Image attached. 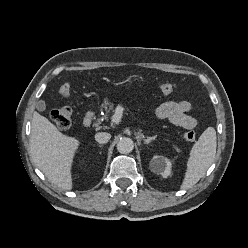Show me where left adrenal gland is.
I'll list each match as a JSON object with an SVG mask.
<instances>
[{
	"mask_svg": "<svg viewBox=\"0 0 248 248\" xmlns=\"http://www.w3.org/2000/svg\"><path fill=\"white\" fill-rule=\"evenodd\" d=\"M156 139V136H152V137H147V138H144V144H149L150 142H152L153 140Z\"/></svg>",
	"mask_w": 248,
	"mask_h": 248,
	"instance_id": "1",
	"label": "left adrenal gland"
}]
</instances>
